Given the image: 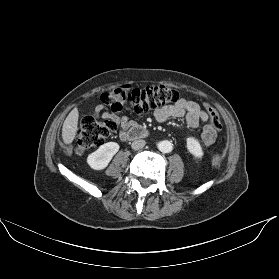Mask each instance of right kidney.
<instances>
[{"label": "right kidney", "instance_id": "right-kidney-1", "mask_svg": "<svg viewBox=\"0 0 279 279\" xmlns=\"http://www.w3.org/2000/svg\"><path fill=\"white\" fill-rule=\"evenodd\" d=\"M118 151V143L107 142L88 155L87 163L94 170H102L108 166L109 162Z\"/></svg>", "mask_w": 279, "mask_h": 279}]
</instances>
